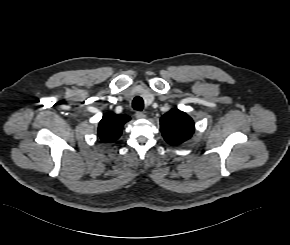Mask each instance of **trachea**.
<instances>
[{"label":"trachea","instance_id":"trachea-1","mask_svg":"<svg viewBox=\"0 0 290 245\" xmlns=\"http://www.w3.org/2000/svg\"><path fill=\"white\" fill-rule=\"evenodd\" d=\"M132 106L135 110L142 111L143 106H144L143 99L139 96L135 97L132 102Z\"/></svg>","mask_w":290,"mask_h":245}]
</instances>
